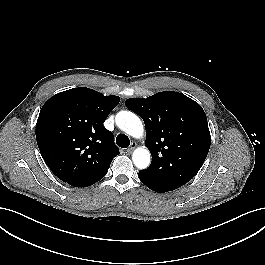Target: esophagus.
Instances as JSON below:
<instances>
[{"label":"esophagus","mask_w":265,"mask_h":265,"mask_svg":"<svg viewBox=\"0 0 265 265\" xmlns=\"http://www.w3.org/2000/svg\"><path fill=\"white\" fill-rule=\"evenodd\" d=\"M136 146V142H132L130 147L127 149V153H131L136 148Z\"/></svg>","instance_id":"obj_1"}]
</instances>
